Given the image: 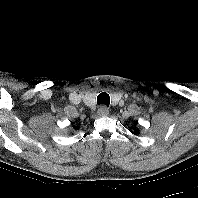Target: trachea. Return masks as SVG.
Masks as SVG:
<instances>
[{"label":"trachea","instance_id":"obj_1","mask_svg":"<svg viewBox=\"0 0 198 198\" xmlns=\"http://www.w3.org/2000/svg\"><path fill=\"white\" fill-rule=\"evenodd\" d=\"M98 105L109 106L110 96L106 92H102L97 96Z\"/></svg>","mask_w":198,"mask_h":198}]
</instances>
